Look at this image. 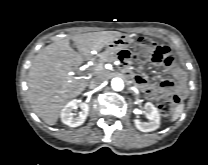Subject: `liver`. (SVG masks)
Instances as JSON below:
<instances>
[{
  "label": "liver",
  "instance_id": "obj_1",
  "mask_svg": "<svg viewBox=\"0 0 208 165\" xmlns=\"http://www.w3.org/2000/svg\"><path fill=\"white\" fill-rule=\"evenodd\" d=\"M118 31H101L72 36L77 52L69 39L56 41L35 57L28 73V99L34 112L48 125L56 124L64 105L77 97L88 85L84 78L72 75L75 67L93 50H100L121 37Z\"/></svg>",
  "mask_w": 208,
  "mask_h": 165
}]
</instances>
